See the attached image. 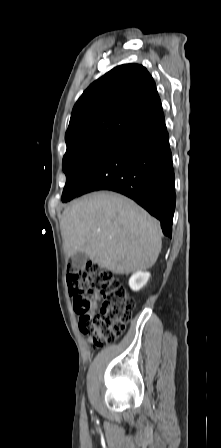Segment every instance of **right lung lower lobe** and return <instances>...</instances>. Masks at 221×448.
Wrapping results in <instances>:
<instances>
[{"instance_id": "1", "label": "right lung lower lobe", "mask_w": 221, "mask_h": 448, "mask_svg": "<svg viewBox=\"0 0 221 448\" xmlns=\"http://www.w3.org/2000/svg\"><path fill=\"white\" fill-rule=\"evenodd\" d=\"M97 190L130 197L160 220L166 236H172L176 195L163 110L117 140L80 195Z\"/></svg>"}]
</instances>
